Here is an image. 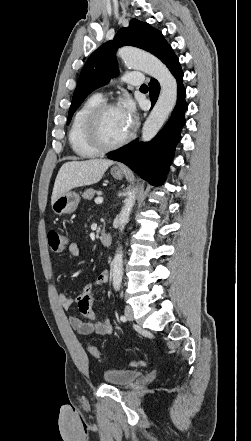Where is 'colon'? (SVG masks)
I'll use <instances>...</instances> for the list:
<instances>
[{
	"label": "colon",
	"mask_w": 251,
	"mask_h": 441,
	"mask_svg": "<svg viewBox=\"0 0 251 441\" xmlns=\"http://www.w3.org/2000/svg\"><path fill=\"white\" fill-rule=\"evenodd\" d=\"M48 244L50 246V248L54 251V252H62L66 249L67 245H68V238L67 236L57 230H51L48 232ZM89 353L95 357V358H99L100 353L99 350L97 349L96 346H89L88 348ZM146 362L144 361H132L130 362V365L133 367H142V366H146Z\"/></svg>",
	"instance_id": "1"
}]
</instances>
